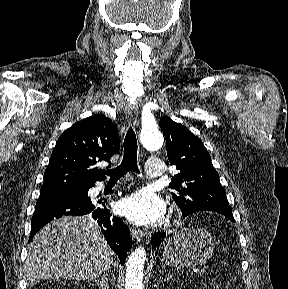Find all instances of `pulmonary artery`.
Instances as JSON below:
<instances>
[{
    "instance_id": "obj_1",
    "label": "pulmonary artery",
    "mask_w": 288,
    "mask_h": 289,
    "mask_svg": "<svg viewBox=\"0 0 288 289\" xmlns=\"http://www.w3.org/2000/svg\"><path fill=\"white\" fill-rule=\"evenodd\" d=\"M145 173L152 178L162 177L164 175V163L160 159H148L145 163Z\"/></svg>"
}]
</instances>
